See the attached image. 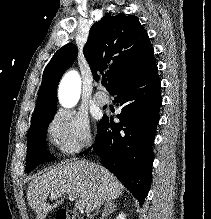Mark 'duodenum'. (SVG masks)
<instances>
[{
  "label": "duodenum",
  "mask_w": 211,
  "mask_h": 219,
  "mask_svg": "<svg viewBox=\"0 0 211 219\" xmlns=\"http://www.w3.org/2000/svg\"><path fill=\"white\" fill-rule=\"evenodd\" d=\"M70 213V217L69 219H88V218H81L79 216H77L74 212H71V211H67Z\"/></svg>",
  "instance_id": "1"
}]
</instances>
